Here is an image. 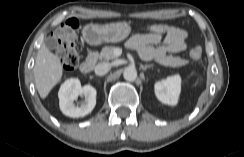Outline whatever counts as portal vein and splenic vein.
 <instances>
[{"mask_svg": "<svg viewBox=\"0 0 244 157\" xmlns=\"http://www.w3.org/2000/svg\"><path fill=\"white\" fill-rule=\"evenodd\" d=\"M121 53H122L121 49H116L115 54H116L117 56H120V55H121Z\"/></svg>", "mask_w": 244, "mask_h": 157, "instance_id": "1", "label": "portal vein and splenic vein"}]
</instances>
